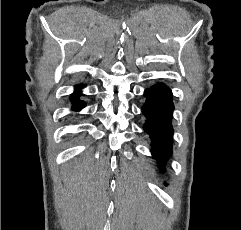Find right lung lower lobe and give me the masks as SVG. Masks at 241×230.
<instances>
[{"mask_svg": "<svg viewBox=\"0 0 241 230\" xmlns=\"http://www.w3.org/2000/svg\"><path fill=\"white\" fill-rule=\"evenodd\" d=\"M83 87H84L83 84L75 85V90H74V92L70 96V102L72 104L71 109L73 111H80V110H82L86 106L84 101H82L80 99V97L84 95L81 92V89Z\"/></svg>", "mask_w": 241, "mask_h": 230, "instance_id": "98d812e1", "label": "right lung lower lobe"}]
</instances>
